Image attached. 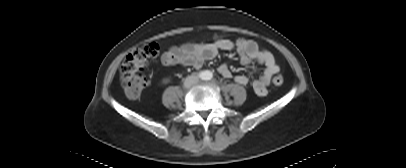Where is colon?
Masks as SVG:
<instances>
[{"mask_svg":"<svg viewBox=\"0 0 406 168\" xmlns=\"http://www.w3.org/2000/svg\"><path fill=\"white\" fill-rule=\"evenodd\" d=\"M158 52L159 45L156 42H149L130 53L122 63L120 81L129 98H138L148 85L144 71L146 66L157 58ZM272 83L275 86L283 84V77L279 72L272 75Z\"/></svg>","mask_w":406,"mask_h":168,"instance_id":"5ec220e1","label":"colon"}]
</instances>
